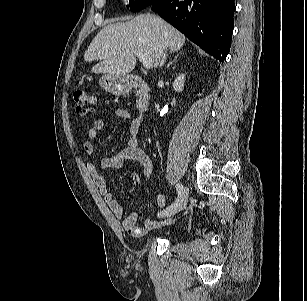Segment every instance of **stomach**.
<instances>
[{
  "label": "stomach",
  "mask_w": 307,
  "mask_h": 301,
  "mask_svg": "<svg viewBox=\"0 0 307 301\" xmlns=\"http://www.w3.org/2000/svg\"><path fill=\"white\" fill-rule=\"evenodd\" d=\"M99 85L105 91L114 95H124L130 89L129 78L105 74L99 79Z\"/></svg>",
  "instance_id": "obj_1"
}]
</instances>
